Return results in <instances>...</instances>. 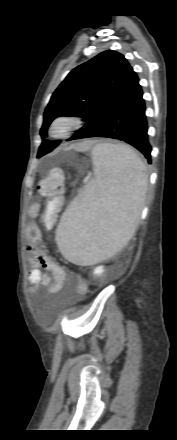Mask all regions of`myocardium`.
Instances as JSON below:
<instances>
[{
	"mask_svg": "<svg viewBox=\"0 0 177 440\" xmlns=\"http://www.w3.org/2000/svg\"><path fill=\"white\" fill-rule=\"evenodd\" d=\"M82 126V121L73 115L56 116L48 127V135L54 139H63L71 136Z\"/></svg>",
	"mask_w": 177,
	"mask_h": 440,
	"instance_id": "1",
	"label": "myocardium"
}]
</instances>
